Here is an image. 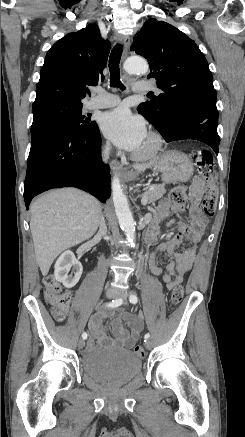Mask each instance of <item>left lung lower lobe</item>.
<instances>
[{
  "instance_id": "obj_1",
  "label": "left lung lower lobe",
  "mask_w": 245,
  "mask_h": 437,
  "mask_svg": "<svg viewBox=\"0 0 245 437\" xmlns=\"http://www.w3.org/2000/svg\"><path fill=\"white\" fill-rule=\"evenodd\" d=\"M218 116L196 106H182L173 110L164 131H159L166 142L192 139L209 145L216 154L220 137L217 133Z\"/></svg>"
}]
</instances>
